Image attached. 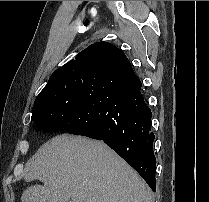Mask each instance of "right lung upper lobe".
<instances>
[{"label":"right lung upper lobe","instance_id":"right-lung-upper-lobe-1","mask_svg":"<svg viewBox=\"0 0 209 202\" xmlns=\"http://www.w3.org/2000/svg\"><path fill=\"white\" fill-rule=\"evenodd\" d=\"M127 63L130 62L120 49L107 42H98L90 45L78 53L74 60L57 69L49 80L77 73L90 74L94 78L110 70L123 69Z\"/></svg>","mask_w":209,"mask_h":202}]
</instances>
